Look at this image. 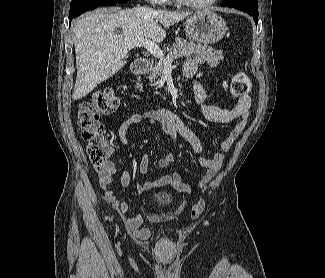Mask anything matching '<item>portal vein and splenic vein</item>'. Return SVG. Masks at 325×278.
<instances>
[{"mask_svg":"<svg viewBox=\"0 0 325 278\" xmlns=\"http://www.w3.org/2000/svg\"><path fill=\"white\" fill-rule=\"evenodd\" d=\"M134 47H144L153 55L154 57L158 58L159 61L164 63L165 68H170L172 65V59L165 58L164 53L162 50L159 48V46L154 43L153 41L146 39V38H137V39H132L126 43L124 48L126 50H130Z\"/></svg>","mask_w":325,"mask_h":278,"instance_id":"1","label":"portal vein and splenic vein"}]
</instances>
